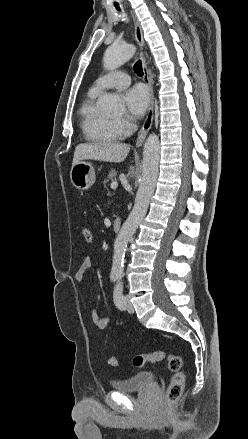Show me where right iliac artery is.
Returning <instances> with one entry per match:
<instances>
[{
    "mask_svg": "<svg viewBox=\"0 0 248 439\" xmlns=\"http://www.w3.org/2000/svg\"><path fill=\"white\" fill-rule=\"evenodd\" d=\"M110 278H111V281H112V282H115V281L118 279V275L112 274V275L110 276Z\"/></svg>",
    "mask_w": 248,
    "mask_h": 439,
    "instance_id": "right-iliac-artery-1",
    "label": "right iliac artery"
}]
</instances>
